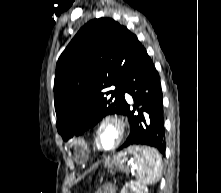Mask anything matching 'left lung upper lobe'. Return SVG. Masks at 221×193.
Instances as JSON below:
<instances>
[{
    "instance_id": "obj_1",
    "label": "left lung upper lobe",
    "mask_w": 221,
    "mask_h": 193,
    "mask_svg": "<svg viewBox=\"0 0 221 193\" xmlns=\"http://www.w3.org/2000/svg\"><path fill=\"white\" fill-rule=\"evenodd\" d=\"M140 44L136 35L111 18L93 19L75 35L58 59L54 81L56 125L65 141L107 114H123L121 85ZM146 118L152 123L159 118L154 107Z\"/></svg>"
}]
</instances>
